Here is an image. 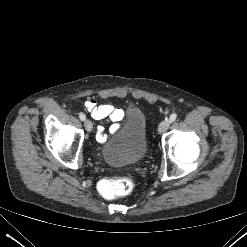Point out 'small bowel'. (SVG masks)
Returning a JSON list of instances; mask_svg holds the SVG:
<instances>
[{
	"label": "small bowel",
	"mask_w": 247,
	"mask_h": 247,
	"mask_svg": "<svg viewBox=\"0 0 247 247\" xmlns=\"http://www.w3.org/2000/svg\"><path fill=\"white\" fill-rule=\"evenodd\" d=\"M85 107L90 112L91 116L96 120H110L114 124L110 128V133L113 134L119 128L120 122L125 115L123 109L114 106L113 104H98L94 99L89 98L85 101ZM96 138L103 143L108 139V135L104 133L103 126L97 128Z\"/></svg>",
	"instance_id": "1"
}]
</instances>
